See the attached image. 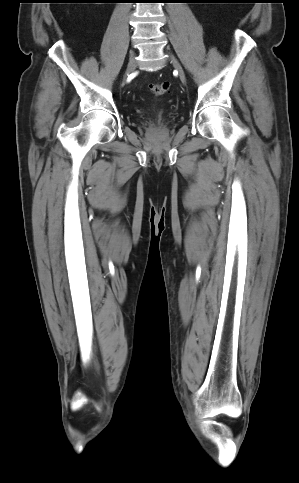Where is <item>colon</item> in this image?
<instances>
[{
    "instance_id": "obj_1",
    "label": "colon",
    "mask_w": 299,
    "mask_h": 483,
    "mask_svg": "<svg viewBox=\"0 0 299 483\" xmlns=\"http://www.w3.org/2000/svg\"><path fill=\"white\" fill-rule=\"evenodd\" d=\"M170 85L167 82L154 83L150 86V89L154 96L159 97L166 94L169 91Z\"/></svg>"
}]
</instances>
